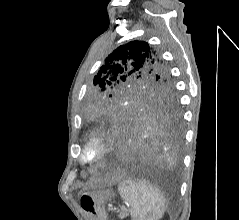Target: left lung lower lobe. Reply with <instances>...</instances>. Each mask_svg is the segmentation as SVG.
<instances>
[{"label":"left lung lower lobe","instance_id":"0a47b994","mask_svg":"<svg viewBox=\"0 0 239 220\" xmlns=\"http://www.w3.org/2000/svg\"><path fill=\"white\" fill-rule=\"evenodd\" d=\"M95 124L109 136L108 160L112 165H172L179 159L182 142L180 112L110 108L98 116Z\"/></svg>","mask_w":239,"mask_h":220}]
</instances>
